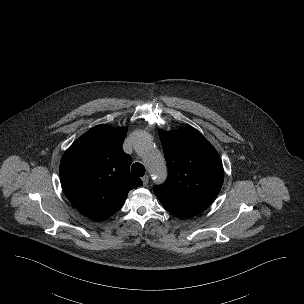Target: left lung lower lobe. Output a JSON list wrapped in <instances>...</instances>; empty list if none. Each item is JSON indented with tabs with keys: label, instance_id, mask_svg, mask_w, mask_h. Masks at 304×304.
I'll list each match as a JSON object with an SVG mask.
<instances>
[{
	"label": "left lung lower lobe",
	"instance_id": "obj_1",
	"mask_svg": "<svg viewBox=\"0 0 304 304\" xmlns=\"http://www.w3.org/2000/svg\"><path fill=\"white\" fill-rule=\"evenodd\" d=\"M164 208H165L168 212H170V213H172V214H174L175 216H178V217H180V218H186V217H188L187 215H185V214H183V213H181V212H179V211H177V210H174V209H172V208H169V207H166V206H164Z\"/></svg>",
	"mask_w": 304,
	"mask_h": 304
}]
</instances>
